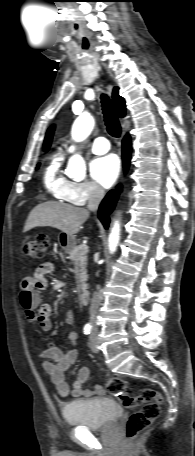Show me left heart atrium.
Here are the masks:
<instances>
[{"mask_svg": "<svg viewBox=\"0 0 195 456\" xmlns=\"http://www.w3.org/2000/svg\"><path fill=\"white\" fill-rule=\"evenodd\" d=\"M120 168L118 157L114 154H109L91 161L90 174L97 183L108 188L117 180Z\"/></svg>", "mask_w": 195, "mask_h": 456, "instance_id": "left-heart-atrium-1", "label": "left heart atrium"}]
</instances>
